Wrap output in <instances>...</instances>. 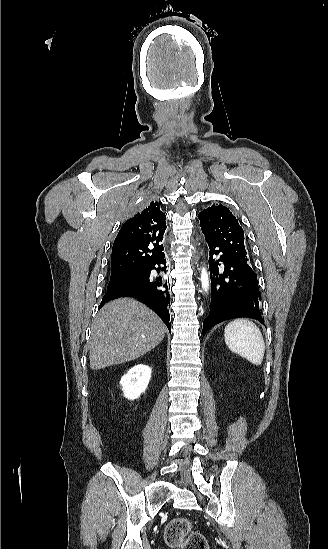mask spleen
<instances>
[{
    "label": "spleen",
    "instance_id": "obj_1",
    "mask_svg": "<svg viewBox=\"0 0 328 549\" xmlns=\"http://www.w3.org/2000/svg\"><path fill=\"white\" fill-rule=\"evenodd\" d=\"M225 343L239 357L253 365H261L264 359L265 343L262 333L249 319H235L225 327Z\"/></svg>",
    "mask_w": 328,
    "mask_h": 549
}]
</instances>
